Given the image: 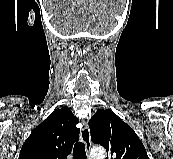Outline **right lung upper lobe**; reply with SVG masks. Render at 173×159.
<instances>
[{
    "label": "right lung upper lobe",
    "instance_id": "1",
    "mask_svg": "<svg viewBox=\"0 0 173 159\" xmlns=\"http://www.w3.org/2000/svg\"><path fill=\"white\" fill-rule=\"evenodd\" d=\"M78 122L67 106L56 109L33 129L18 159H66L79 139Z\"/></svg>",
    "mask_w": 173,
    "mask_h": 159
}]
</instances>
